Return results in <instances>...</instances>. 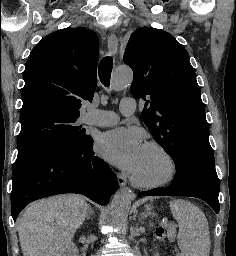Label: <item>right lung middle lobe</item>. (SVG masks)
Listing matches in <instances>:
<instances>
[{"label":"right lung middle lobe","instance_id":"right-lung-middle-lobe-1","mask_svg":"<svg viewBox=\"0 0 236 256\" xmlns=\"http://www.w3.org/2000/svg\"><path fill=\"white\" fill-rule=\"evenodd\" d=\"M77 119L53 111L21 118L17 157L47 145L80 146L86 143L90 136L84 135L85 130L81 126H76Z\"/></svg>","mask_w":236,"mask_h":256}]
</instances>
